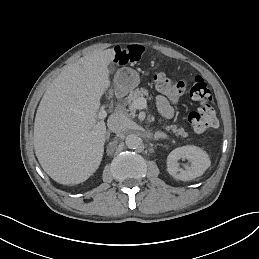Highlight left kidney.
Listing matches in <instances>:
<instances>
[{
  "instance_id": "obj_1",
  "label": "left kidney",
  "mask_w": 259,
  "mask_h": 259,
  "mask_svg": "<svg viewBox=\"0 0 259 259\" xmlns=\"http://www.w3.org/2000/svg\"><path fill=\"white\" fill-rule=\"evenodd\" d=\"M188 159L191 166H186L185 170L179 167L178 160ZM210 159L208 154L196 146H182L174 149L167 157V171L175 179L188 181L201 176L209 167Z\"/></svg>"
}]
</instances>
